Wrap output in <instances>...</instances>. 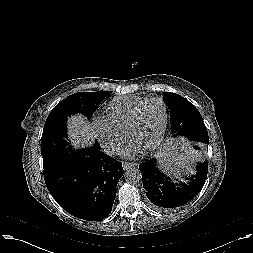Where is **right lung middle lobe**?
Returning a JSON list of instances; mask_svg holds the SVG:
<instances>
[{
    "label": "right lung middle lobe",
    "instance_id": "dd1d6c3e",
    "mask_svg": "<svg viewBox=\"0 0 253 253\" xmlns=\"http://www.w3.org/2000/svg\"><path fill=\"white\" fill-rule=\"evenodd\" d=\"M111 92H78L59 102L50 112L41 138L43 166L76 158L84 150H73L66 132L67 117L81 113L90 118L97 107ZM98 147V142L93 145Z\"/></svg>",
    "mask_w": 253,
    "mask_h": 253
}]
</instances>
